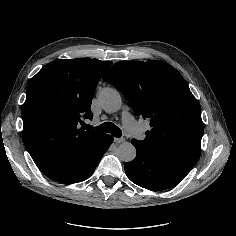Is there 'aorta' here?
<instances>
[{"label": "aorta", "mask_w": 236, "mask_h": 236, "mask_svg": "<svg viewBox=\"0 0 236 236\" xmlns=\"http://www.w3.org/2000/svg\"><path fill=\"white\" fill-rule=\"evenodd\" d=\"M98 100L102 109L108 113L118 111L122 104L119 92L113 88L103 89ZM116 154L121 161L130 162L136 157V149L131 143L123 142L118 146Z\"/></svg>", "instance_id": "1"}]
</instances>
